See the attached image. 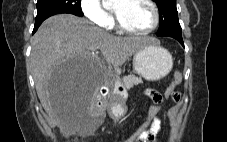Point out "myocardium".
<instances>
[{"label": "myocardium", "instance_id": "1", "mask_svg": "<svg viewBox=\"0 0 227 142\" xmlns=\"http://www.w3.org/2000/svg\"><path fill=\"white\" fill-rule=\"evenodd\" d=\"M145 1L151 7L152 14H153V20H152V23L150 24V26H148L147 28L142 29V30L130 29L121 22V20L118 18V16L114 12H112L113 23H114V26L116 27V29H118L119 31H121L123 33L130 34V35H146V34L151 33L152 31H154L157 28L159 21H160L159 8L154 0H145Z\"/></svg>", "mask_w": 227, "mask_h": 142}]
</instances>
